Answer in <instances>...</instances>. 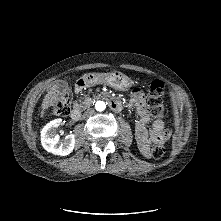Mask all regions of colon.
<instances>
[{"mask_svg": "<svg viewBox=\"0 0 221 221\" xmlns=\"http://www.w3.org/2000/svg\"><path fill=\"white\" fill-rule=\"evenodd\" d=\"M164 85L161 81H153L149 87V98L147 102L150 114L156 118L164 116ZM71 110V95L69 93L63 95L59 102L52 108V113L59 116H66ZM165 153L162 143L154 145L149 150V156L154 159L161 158Z\"/></svg>", "mask_w": 221, "mask_h": 221, "instance_id": "5ec220e1", "label": "colon"}]
</instances>
